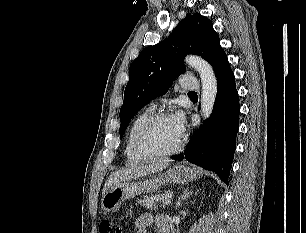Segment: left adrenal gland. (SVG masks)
Segmentation results:
<instances>
[{"label":"left adrenal gland","mask_w":306,"mask_h":233,"mask_svg":"<svg viewBox=\"0 0 306 233\" xmlns=\"http://www.w3.org/2000/svg\"><path fill=\"white\" fill-rule=\"evenodd\" d=\"M193 194V191H189V188H184L181 196L178 198V201L176 202L175 208H179L182 204V201L188 199Z\"/></svg>","instance_id":"1"}]
</instances>
